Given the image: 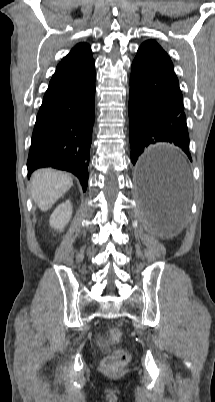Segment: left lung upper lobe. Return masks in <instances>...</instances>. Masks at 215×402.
Returning a JSON list of instances; mask_svg holds the SVG:
<instances>
[{"instance_id":"1","label":"left lung upper lobe","mask_w":215,"mask_h":402,"mask_svg":"<svg viewBox=\"0 0 215 402\" xmlns=\"http://www.w3.org/2000/svg\"><path fill=\"white\" fill-rule=\"evenodd\" d=\"M135 58L142 59L146 62L174 72L170 57L154 40H147L142 43Z\"/></svg>"}]
</instances>
